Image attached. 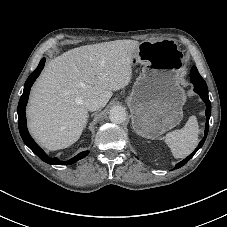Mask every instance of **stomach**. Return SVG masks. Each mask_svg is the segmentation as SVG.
Listing matches in <instances>:
<instances>
[{"instance_id":"1","label":"stomach","mask_w":227,"mask_h":227,"mask_svg":"<svg viewBox=\"0 0 227 227\" xmlns=\"http://www.w3.org/2000/svg\"><path fill=\"white\" fill-rule=\"evenodd\" d=\"M142 71L127 97L132 127L144 138L155 139L178 125L186 96L179 84L184 55L164 41H143L133 54Z\"/></svg>"}]
</instances>
